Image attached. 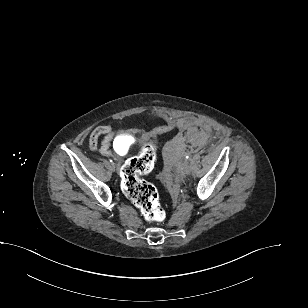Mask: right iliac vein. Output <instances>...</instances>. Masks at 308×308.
Segmentation results:
<instances>
[{
    "mask_svg": "<svg viewBox=\"0 0 308 308\" xmlns=\"http://www.w3.org/2000/svg\"><path fill=\"white\" fill-rule=\"evenodd\" d=\"M111 168H112V170H115V169H116L115 163H112V164H111Z\"/></svg>",
    "mask_w": 308,
    "mask_h": 308,
    "instance_id": "right-iliac-vein-1",
    "label": "right iliac vein"
}]
</instances>
